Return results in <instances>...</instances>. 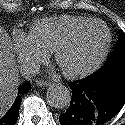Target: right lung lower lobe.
Masks as SVG:
<instances>
[{"label":"right lung lower lobe","mask_w":125,"mask_h":125,"mask_svg":"<svg viewBox=\"0 0 125 125\" xmlns=\"http://www.w3.org/2000/svg\"><path fill=\"white\" fill-rule=\"evenodd\" d=\"M31 89V84L29 81L22 84L18 89V96L16 97L14 103L10 107V109L1 116L0 118V125H15L18 114L19 108L21 103V96L28 92Z\"/></svg>","instance_id":"98d812e1"}]
</instances>
